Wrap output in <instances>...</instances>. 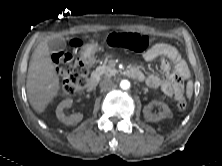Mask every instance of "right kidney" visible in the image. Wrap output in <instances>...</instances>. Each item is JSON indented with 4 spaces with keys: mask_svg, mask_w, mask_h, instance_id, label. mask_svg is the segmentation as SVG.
Returning a JSON list of instances; mask_svg holds the SVG:
<instances>
[{
    "mask_svg": "<svg viewBox=\"0 0 222 166\" xmlns=\"http://www.w3.org/2000/svg\"><path fill=\"white\" fill-rule=\"evenodd\" d=\"M72 103V99L63 100L56 109L57 118L66 125L77 124L83 119V114L81 113L71 114L70 116L64 114V109L71 106Z\"/></svg>",
    "mask_w": 222,
    "mask_h": 166,
    "instance_id": "obj_1",
    "label": "right kidney"
}]
</instances>
